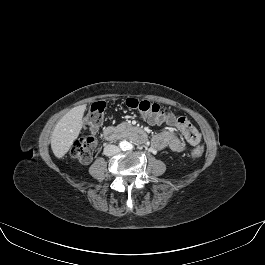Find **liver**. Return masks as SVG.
I'll use <instances>...</instances> for the list:
<instances>
[{
	"instance_id": "obj_1",
	"label": "liver",
	"mask_w": 265,
	"mask_h": 265,
	"mask_svg": "<svg viewBox=\"0 0 265 265\" xmlns=\"http://www.w3.org/2000/svg\"><path fill=\"white\" fill-rule=\"evenodd\" d=\"M84 111V105L71 109L54 127L51 135V149L57 158H62L77 139L83 126Z\"/></svg>"
}]
</instances>
